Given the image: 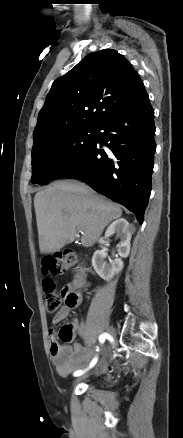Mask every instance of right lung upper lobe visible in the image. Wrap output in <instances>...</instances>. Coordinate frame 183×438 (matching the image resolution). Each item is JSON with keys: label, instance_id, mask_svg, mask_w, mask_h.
<instances>
[{"label": "right lung upper lobe", "instance_id": "1", "mask_svg": "<svg viewBox=\"0 0 183 438\" xmlns=\"http://www.w3.org/2000/svg\"><path fill=\"white\" fill-rule=\"evenodd\" d=\"M146 94L138 73L117 51L104 49L88 54L52 84L33 140L66 129L98 127Z\"/></svg>", "mask_w": 183, "mask_h": 438}]
</instances>
